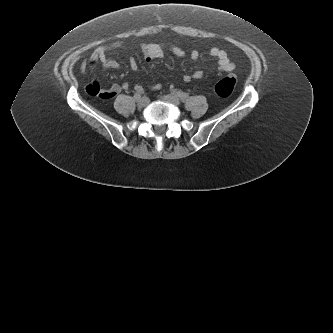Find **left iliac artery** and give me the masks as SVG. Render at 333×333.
<instances>
[{"label": "left iliac artery", "mask_w": 333, "mask_h": 333, "mask_svg": "<svg viewBox=\"0 0 333 333\" xmlns=\"http://www.w3.org/2000/svg\"><path fill=\"white\" fill-rule=\"evenodd\" d=\"M173 92L176 93L181 100H185L188 97L187 93L182 92L181 90H173Z\"/></svg>", "instance_id": "left-iliac-artery-1"}]
</instances>
